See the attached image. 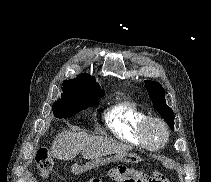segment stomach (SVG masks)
Wrapping results in <instances>:
<instances>
[{
	"instance_id": "stomach-1",
	"label": "stomach",
	"mask_w": 211,
	"mask_h": 182,
	"mask_svg": "<svg viewBox=\"0 0 211 182\" xmlns=\"http://www.w3.org/2000/svg\"><path fill=\"white\" fill-rule=\"evenodd\" d=\"M131 157H132L131 155L122 153V154H118V155L115 157V159L118 160V161H123V162H125V161H129Z\"/></svg>"
}]
</instances>
